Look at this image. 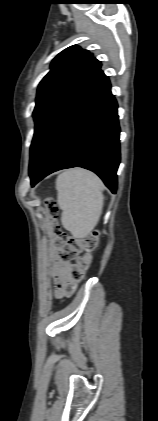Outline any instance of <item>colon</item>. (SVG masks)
Listing matches in <instances>:
<instances>
[{
    "instance_id": "1",
    "label": "colon",
    "mask_w": 158,
    "mask_h": 421,
    "mask_svg": "<svg viewBox=\"0 0 158 421\" xmlns=\"http://www.w3.org/2000/svg\"><path fill=\"white\" fill-rule=\"evenodd\" d=\"M45 205L53 222L51 234L53 242L58 248L60 260L69 263L76 258L75 263L70 264L69 275L65 284L66 294L71 295L75 292L78 284L83 280L85 273L91 264V253L97 247L99 233L94 231L82 237L66 234L60 229L57 223L58 208L55 201L52 198H47L45 200ZM81 251H85L86 253L81 257H77Z\"/></svg>"
}]
</instances>
